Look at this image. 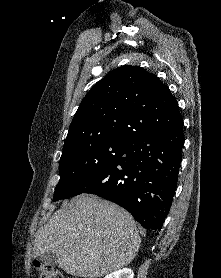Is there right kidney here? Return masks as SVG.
I'll return each instance as SVG.
<instances>
[{
    "mask_svg": "<svg viewBox=\"0 0 221 278\" xmlns=\"http://www.w3.org/2000/svg\"><path fill=\"white\" fill-rule=\"evenodd\" d=\"M133 277H134V273L131 269L123 268L113 273H110L104 278H133Z\"/></svg>",
    "mask_w": 221,
    "mask_h": 278,
    "instance_id": "ca27d5eb",
    "label": "right kidney"
}]
</instances>
